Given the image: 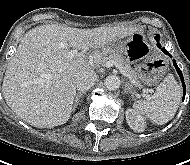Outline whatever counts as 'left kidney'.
<instances>
[{
    "label": "left kidney",
    "mask_w": 190,
    "mask_h": 165,
    "mask_svg": "<svg viewBox=\"0 0 190 165\" xmlns=\"http://www.w3.org/2000/svg\"><path fill=\"white\" fill-rule=\"evenodd\" d=\"M125 114L127 123L130 128L137 132H143L145 130L146 122L144 117H142L133 109H128Z\"/></svg>",
    "instance_id": "1"
}]
</instances>
